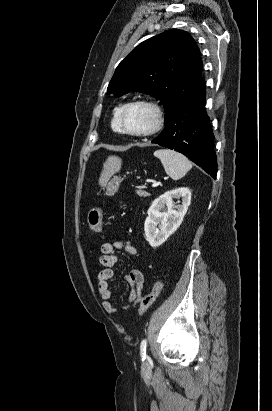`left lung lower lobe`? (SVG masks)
Returning a JSON list of instances; mask_svg holds the SVG:
<instances>
[{
    "mask_svg": "<svg viewBox=\"0 0 272 411\" xmlns=\"http://www.w3.org/2000/svg\"><path fill=\"white\" fill-rule=\"evenodd\" d=\"M205 87L206 84L178 107L152 143L184 154L215 179L217 159L214 135L204 108Z\"/></svg>",
    "mask_w": 272,
    "mask_h": 411,
    "instance_id": "0a47b994",
    "label": "left lung lower lobe"
}]
</instances>
